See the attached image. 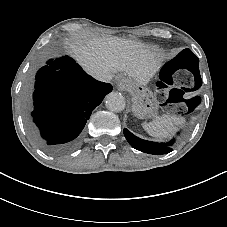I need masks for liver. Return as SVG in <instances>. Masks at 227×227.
I'll list each match as a JSON object with an SVG mask.
<instances>
[{
  "instance_id": "6515ba94",
  "label": "liver",
  "mask_w": 227,
  "mask_h": 227,
  "mask_svg": "<svg viewBox=\"0 0 227 227\" xmlns=\"http://www.w3.org/2000/svg\"><path fill=\"white\" fill-rule=\"evenodd\" d=\"M67 49L84 69L96 76L105 71H127L139 85L146 86L151 76L161 67L160 54L138 41L122 38L78 39Z\"/></svg>"
}]
</instances>
